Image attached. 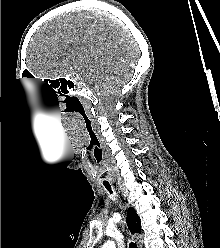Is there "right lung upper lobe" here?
Returning a JSON list of instances; mask_svg holds the SVG:
<instances>
[{"label":"right lung upper lobe","instance_id":"right-lung-upper-lobe-1","mask_svg":"<svg viewBox=\"0 0 220 248\" xmlns=\"http://www.w3.org/2000/svg\"><path fill=\"white\" fill-rule=\"evenodd\" d=\"M127 225L132 233H141L140 218L133 207L127 211Z\"/></svg>","mask_w":220,"mask_h":248}]
</instances>
